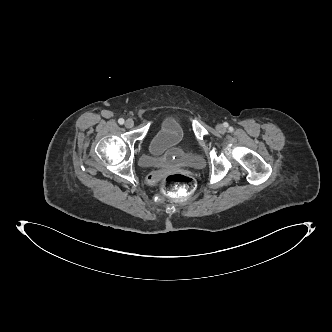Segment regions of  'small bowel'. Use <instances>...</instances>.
<instances>
[{
	"label": "small bowel",
	"instance_id": "obj_1",
	"mask_svg": "<svg viewBox=\"0 0 332 332\" xmlns=\"http://www.w3.org/2000/svg\"><path fill=\"white\" fill-rule=\"evenodd\" d=\"M163 135L156 140V149L160 153H169L173 145L176 148H185L189 144V135L185 131H180V126L176 122H167L163 126Z\"/></svg>",
	"mask_w": 332,
	"mask_h": 332
}]
</instances>
